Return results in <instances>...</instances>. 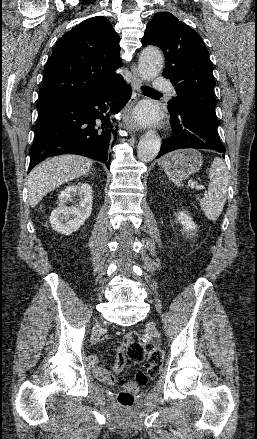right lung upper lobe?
Listing matches in <instances>:
<instances>
[{
	"label": "right lung upper lobe",
	"mask_w": 257,
	"mask_h": 439,
	"mask_svg": "<svg viewBox=\"0 0 257 439\" xmlns=\"http://www.w3.org/2000/svg\"><path fill=\"white\" fill-rule=\"evenodd\" d=\"M120 38L109 20L96 16L65 33L53 47L43 71L38 110L94 93L121 76Z\"/></svg>",
	"instance_id": "right-lung-upper-lobe-1"
}]
</instances>
